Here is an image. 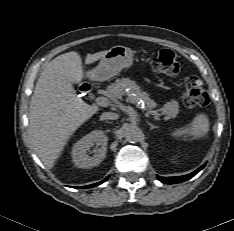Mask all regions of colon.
I'll return each instance as SVG.
<instances>
[{"instance_id":"1","label":"colon","mask_w":234,"mask_h":231,"mask_svg":"<svg viewBox=\"0 0 234 231\" xmlns=\"http://www.w3.org/2000/svg\"><path fill=\"white\" fill-rule=\"evenodd\" d=\"M151 66L154 72L164 75H176L180 69L176 55L168 49L158 52ZM182 103L188 108L204 107L209 103V96L197 77L189 76L186 79Z\"/></svg>"}]
</instances>
